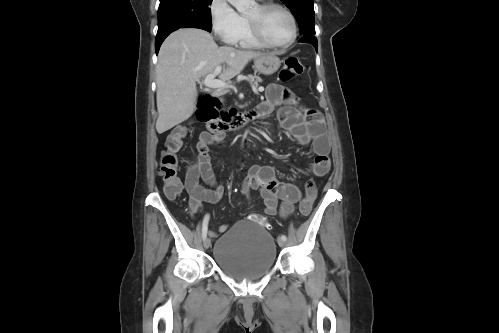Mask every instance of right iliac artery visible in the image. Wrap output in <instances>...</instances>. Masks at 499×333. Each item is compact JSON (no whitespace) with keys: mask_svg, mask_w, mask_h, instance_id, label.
<instances>
[{"mask_svg":"<svg viewBox=\"0 0 499 333\" xmlns=\"http://www.w3.org/2000/svg\"><path fill=\"white\" fill-rule=\"evenodd\" d=\"M208 221H209V215H206L203 219V224H202V238H203V240L207 237Z\"/></svg>","mask_w":499,"mask_h":333,"instance_id":"1","label":"right iliac artery"}]
</instances>
